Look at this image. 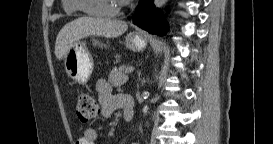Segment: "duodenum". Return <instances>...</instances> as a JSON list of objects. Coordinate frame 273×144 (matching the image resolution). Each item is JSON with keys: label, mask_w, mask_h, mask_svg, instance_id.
<instances>
[{"label": "duodenum", "mask_w": 273, "mask_h": 144, "mask_svg": "<svg viewBox=\"0 0 273 144\" xmlns=\"http://www.w3.org/2000/svg\"><path fill=\"white\" fill-rule=\"evenodd\" d=\"M119 103L124 112V120L131 121L134 117V99L128 95H120Z\"/></svg>", "instance_id": "obj_1"}]
</instances>
